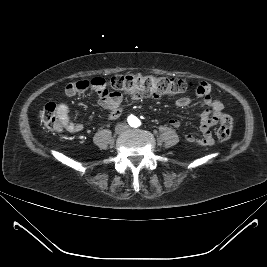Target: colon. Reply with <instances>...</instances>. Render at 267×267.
I'll use <instances>...</instances> for the list:
<instances>
[{
	"instance_id": "1",
	"label": "colon",
	"mask_w": 267,
	"mask_h": 267,
	"mask_svg": "<svg viewBox=\"0 0 267 267\" xmlns=\"http://www.w3.org/2000/svg\"><path fill=\"white\" fill-rule=\"evenodd\" d=\"M102 89L97 90L99 97H104L111 92L127 94L136 98L140 97H175L192 86V84L179 78L154 76L151 74H122L117 75L102 82ZM92 86V82L83 84ZM41 121L43 125L53 131L61 130L60 119L57 114V107L54 103H48L42 113ZM233 130V121L230 116L223 115L220 119V126L217 136L221 141L230 139Z\"/></svg>"
}]
</instances>
